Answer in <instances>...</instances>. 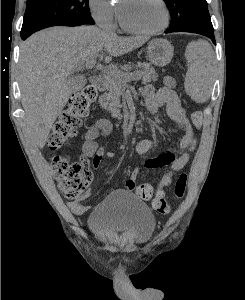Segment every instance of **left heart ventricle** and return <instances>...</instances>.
<instances>
[{
	"label": "left heart ventricle",
	"mask_w": 245,
	"mask_h": 300,
	"mask_svg": "<svg viewBox=\"0 0 245 300\" xmlns=\"http://www.w3.org/2000/svg\"><path fill=\"white\" fill-rule=\"evenodd\" d=\"M120 9L129 25L144 30L161 26L165 19L158 0H123Z\"/></svg>",
	"instance_id": "left-heart-ventricle-1"
}]
</instances>
